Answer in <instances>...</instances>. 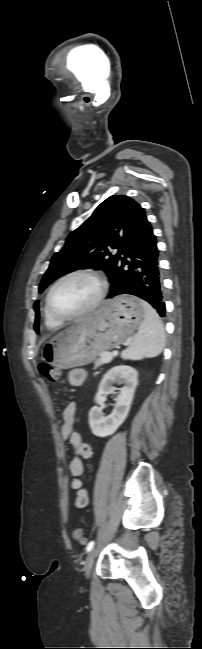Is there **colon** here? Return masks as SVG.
I'll use <instances>...</instances> for the list:
<instances>
[{"mask_svg":"<svg viewBox=\"0 0 202 649\" xmlns=\"http://www.w3.org/2000/svg\"><path fill=\"white\" fill-rule=\"evenodd\" d=\"M40 374L48 381L55 382L58 381L60 372L57 368L46 364L41 363L38 367ZM73 538L80 544L85 543V538L83 536V530L81 528H76L73 532Z\"/></svg>","mask_w":202,"mask_h":649,"instance_id":"colon-1","label":"colon"}]
</instances>
